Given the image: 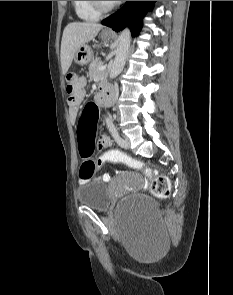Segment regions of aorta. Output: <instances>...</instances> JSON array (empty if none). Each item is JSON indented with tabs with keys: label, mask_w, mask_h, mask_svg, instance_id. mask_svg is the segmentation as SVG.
<instances>
[{
	"label": "aorta",
	"mask_w": 233,
	"mask_h": 295,
	"mask_svg": "<svg viewBox=\"0 0 233 295\" xmlns=\"http://www.w3.org/2000/svg\"><path fill=\"white\" fill-rule=\"evenodd\" d=\"M130 42H131L130 30L128 28H125L121 32V35L119 36V45L116 51V56H115L112 68L109 73V76L111 79L115 78L123 70L126 63L127 54L130 48Z\"/></svg>",
	"instance_id": "aorta-1"
}]
</instances>
